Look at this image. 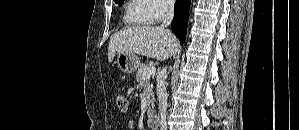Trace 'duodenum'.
Here are the masks:
<instances>
[{"label":"duodenum","mask_w":299,"mask_h":130,"mask_svg":"<svg viewBox=\"0 0 299 130\" xmlns=\"http://www.w3.org/2000/svg\"><path fill=\"white\" fill-rule=\"evenodd\" d=\"M147 124L149 126V128L151 129H158L159 126V119L156 115H149L148 119H147Z\"/></svg>","instance_id":"duodenum-1"}]
</instances>
